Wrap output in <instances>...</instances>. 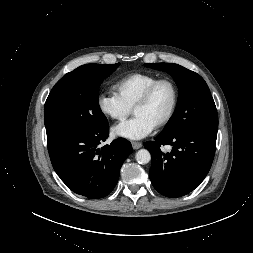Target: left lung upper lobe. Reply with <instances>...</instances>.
Wrapping results in <instances>:
<instances>
[{"instance_id": "5c2ea615", "label": "left lung upper lobe", "mask_w": 253, "mask_h": 253, "mask_svg": "<svg viewBox=\"0 0 253 253\" xmlns=\"http://www.w3.org/2000/svg\"><path fill=\"white\" fill-rule=\"evenodd\" d=\"M144 65L169 73L179 90L177 108L160 136L172 137L190 130L217 133L216 106L206 82L200 75L173 63Z\"/></svg>"}]
</instances>
